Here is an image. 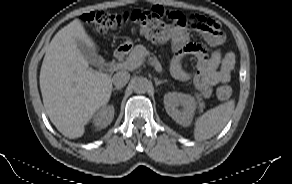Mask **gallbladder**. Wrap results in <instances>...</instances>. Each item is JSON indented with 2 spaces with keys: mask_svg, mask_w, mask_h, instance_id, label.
<instances>
[{
  "mask_svg": "<svg viewBox=\"0 0 292 184\" xmlns=\"http://www.w3.org/2000/svg\"><path fill=\"white\" fill-rule=\"evenodd\" d=\"M77 47L83 57L91 64H99L102 61V57L99 56L93 49H91L84 42L77 40Z\"/></svg>",
  "mask_w": 292,
  "mask_h": 184,
  "instance_id": "obj_1",
  "label": "gallbladder"
}]
</instances>
